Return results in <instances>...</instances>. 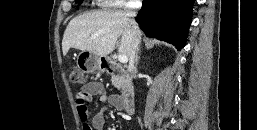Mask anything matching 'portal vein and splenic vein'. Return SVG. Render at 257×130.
<instances>
[{
	"label": "portal vein and splenic vein",
	"mask_w": 257,
	"mask_h": 130,
	"mask_svg": "<svg viewBox=\"0 0 257 130\" xmlns=\"http://www.w3.org/2000/svg\"><path fill=\"white\" fill-rule=\"evenodd\" d=\"M118 61H119L120 63H127L128 58H127V56H125V55H119V56H118Z\"/></svg>",
	"instance_id": "1"
}]
</instances>
